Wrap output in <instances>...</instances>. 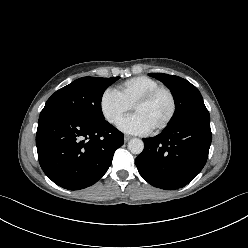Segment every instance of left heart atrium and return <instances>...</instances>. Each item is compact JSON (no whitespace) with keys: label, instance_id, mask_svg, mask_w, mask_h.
I'll list each match as a JSON object with an SVG mask.
<instances>
[{"label":"left heart atrium","instance_id":"39dd6f15","mask_svg":"<svg viewBox=\"0 0 248 248\" xmlns=\"http://www.w3.org/2000/svg\"><path fill=\"white\" fill-rule=\"evenodd\" d=\"M119 129L130 134H147L151 131L148 124L137 114L121 121Z\"/></svg>","mask_w":248,"mask_h":248}]
</instances>
